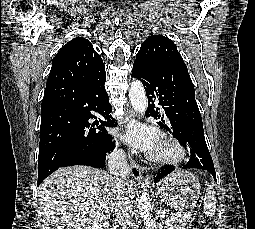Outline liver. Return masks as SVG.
Instances as JSON below:
<instances>
[{
  "label": "liver",
  "mask_w": 255,
  "mask_h": 229,
  "mask_svg": "<svg viewBox=\"0 0 255 229\" xmlns=\"http://www.w3.org/2000/svg\"><path fill=\"white\" fill-rule=\"evenodd\" d=\"M130 198L135 191L126 184ZM116 179L90 166L60 168L38 189V201L53 229H89L110 217L115 207Z\"/></svg>",
  "instance_id": "obj_1"
}]
</instances>
